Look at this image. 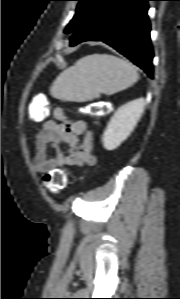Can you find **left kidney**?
<instances>
[{"instance_id": "1", "label": "left kidney", "mask_w": 180, "mask_h": 299, "mask_svg": "<svg viewBox=\"0 0 180 299\" xmlns=\"http://www.w3.org/2000/svg\"><path fill=\"white\" fill-rule=\"evenodd\" d=\"M145 107V100L139 98L118 108L110 119L102 136L106 150H114L125 141L140 120Z\"/></svg>"}]
</instances>
